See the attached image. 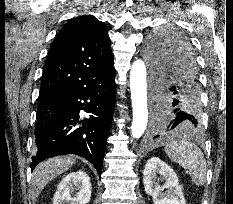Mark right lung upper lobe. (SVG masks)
I'll return each instance as SVG.
<instances>
[{"label":"right lung upper lobe","mask_w":233,"mask_h":204,"mask_svg":"<svg viewBox=\"0 0 233 204\" xmlns=\"http://www.w3.org/2000/svg\"><path fill=\"white\" fill-rule=\"evenodd\" d=\"M110 40L103 22L83 15L70 20L50 46L40 98L72 89L82 80L113 67Z\"/></svg>","instance_id":"cb5924a9"}]
</instances>
